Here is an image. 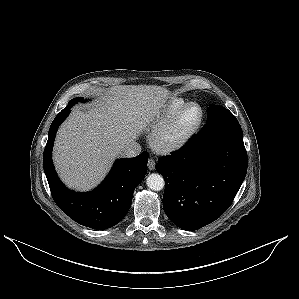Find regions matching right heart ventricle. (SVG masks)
<instances>
[{"label":"right heart ventricle","instance_id":"e07e8e85","mask_svg":"<svg viewBox=\"0 0 299 299\" xmlns=\"http://www.w3.org/2000/svg\"><path fill=\"white\" fill-rule=\"evenodd\" d=\"M187 102L180 97L171 98L168 103L166 104L165 108L163 109L161 120L165 121L170 116H172L175 112H177L181 107H183Z\"/></svg>","mask_w":299,"mask_h":299}]
</instances>
